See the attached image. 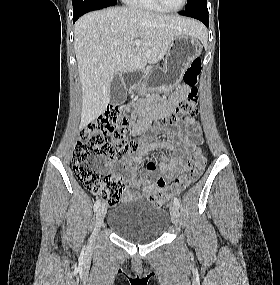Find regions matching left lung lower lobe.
Here are the masks:
<instances>
[{
	"instance_id": "obj_1",
	"label": "left lung lower lobe",
	"mask_w": 280,
	"mask_h": 285,
	"mask_svg": "<svg viewBox=\"0 0 280 285\" xmlns=\"http://www.w3.org/2000/svg\"><path fill=\"white\" fill-rule=\"evenodd\" d=\"M180 14L184 15V16L196 18V19L202 21L208 27L209 16H208V9L207 8L182 11V12H180Z\"/></svg>"
}]
</instances>
